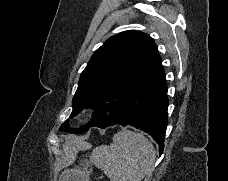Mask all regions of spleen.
I'll use <instances>...</instances> for the list:
<instances>
[{"mask_svg": "<svg viewBox=\"0 0 228 181\" xmlns=\"http://www.w3.org/2000/svg\"><path fill=\"white\" fill-rule=\"evenodd\" d=\"M91 161L110 181H142L153 173L155 151L144 135L123 129L109 147H96Z\"/></svg>", "mask_w": 228, "mask_h": 181, "instance_id": "1", "label": "spleen"}]
</instances>
